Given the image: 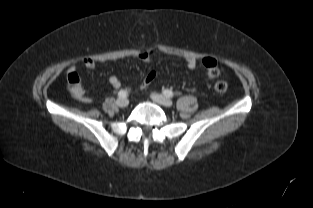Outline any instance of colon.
Masks as SVG:
<instances>
[{"label": "colon", "mask_w": 313, "mask_h": 208, "mask_svg": "<svg viewBox=\"0 0 313 208\" xmlns=\"http://www.w3.org/2000/svg\"><path fill=\"white\" fill-rule=\"evenodd\" d=\"M219 75V68L218 67H211L209 70H208V76L209 78L211 79H215L217 78ZM156 77V72L155 71H150L148 72L144 79H143V83L144 85H149ZM214 90L218 93H223L227 90L228 88V83L225 81V80H217L215 83H214V86H213Z\"/></svg>", "instance_id": "5ec220e1"}]
</instances>
